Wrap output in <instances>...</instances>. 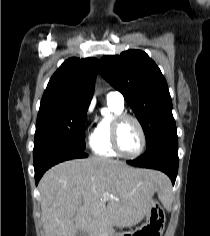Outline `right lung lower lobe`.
Wrapping results in <instances>:
<instances>
[{
	"label": "right lung lower lobe",
	"mask_w": 210,
	"mask_h": 236,
	"mask_svg": "<svg viewBox=\"0 0 210 236\" xmlns=\"http://www.w3.org/2000/svg\"><path fill=\"white\" fill-rule=\"evenodd\" d=\"M84 150L64 144L50 143L34 147L35 181L38 184L44 172L53 165L70 159L85 158Z\"/></svg>",
	"instance_id": "right-lung-lower-lobe-1"
}]
</instances>
